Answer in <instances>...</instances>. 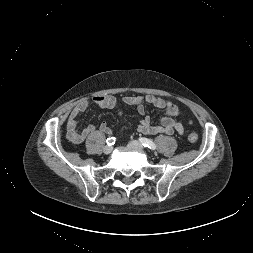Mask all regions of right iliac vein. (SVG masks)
Returning a JSON list of instances; mask_svg holds the SVG:
<instances>
[{
  "instance_id": "63e3f726",
  "label": "right iliac vein",
  "mask_w": 253,
  "mask_h": 253,
  "mask_svg": "<svg viewBox=\"0 0 253 253\" xmlns=\"http://www.w3.org/2000/svg\"><path fill=\"white\" fill-rule=\"evenodd\" d=\"M112 150H113V148H112L111 146H105V147L103 148V152H104L105 154H110V153L112 152Z\"/></svg>"
}]
</instances>
